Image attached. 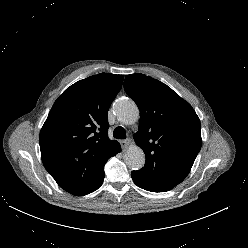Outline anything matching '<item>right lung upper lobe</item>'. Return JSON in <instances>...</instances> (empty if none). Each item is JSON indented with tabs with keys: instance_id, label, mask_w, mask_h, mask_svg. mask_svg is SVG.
<instances>
[{
	"instance_id": "cb5924a9",
	"label": "right lung upper lobe",
	"mask_w": 248,
	"mask_h": 248,
	"mask_svg": "<svg viewBox=\"0 0 248 248\" xmlns=\"http://www.w3.org/2000/svg\"><path fill=\"white\" fill-rule=\"evenodd\" d=\"M123 75L100 73L68 87L55 101L39 136L42 162L58 185L83 196L104 179L119 142L108 138L107 112Z\"/></svg>"
}]
</instances>
